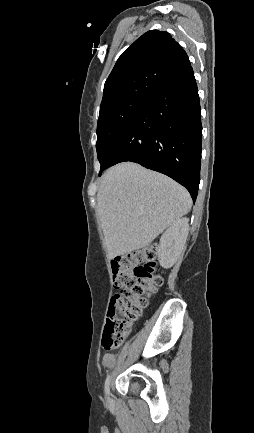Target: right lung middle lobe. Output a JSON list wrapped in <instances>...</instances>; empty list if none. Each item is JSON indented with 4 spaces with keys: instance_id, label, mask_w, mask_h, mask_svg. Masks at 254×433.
I'll return each mask as SVG.
<instances>
[{
    "instance_id": "1",
    "label": "right lung middle lobe",
    "mask_w": 254,
    "mask_h": 433,
    "mask_svg": "<svg viewBox=\"0 0 254 433\" xmlns=\"http://www.w3.org/2000/svg\"><path fill=\"white\" fill-rule=\"evenodd\" d=\"M148 100L142 98L126 99L100 109L96 143L97 156L101 164L100 171L107 164L121 135Z\"/></svg>"
}]
</instances>
